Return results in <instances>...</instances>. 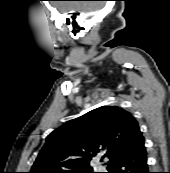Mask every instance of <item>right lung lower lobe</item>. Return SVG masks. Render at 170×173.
I'll list each match as a JSON object with an SVG mask.
<instances>
[{
  "instance_id": "1",
  "label": "right lung lower lobe",
  "mask_w": 170,
  "mask_h": 173,
  "mask_svg": "<svg viewBox=\"0 0 170 173\" xmlns=\"http://www.w3.org/2000/svg\"><path fill=\"white\" fill-rule=\"evenodd\" d=\"M108 173H150L144 145L125 154L108 165Z\"/></svg>"
}]
</instances>
